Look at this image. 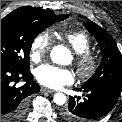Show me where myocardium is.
I'll return each instance as SVG.
<instances>
[{"instance_id": "obj_1", "label": "myocardium", "mask_w": 122, "mask_h": 122, "mask_svg": "<svg viewBox=\"0 0 122 122\" xmlns=\"http://www.w3.org/2000/svg\"><path fill=\"white\" fill-rule=\"evenodd\" d=\"M75 65L78 76L83 80H87L96 73L99 61L95 54L86 51L77 55Z\"/></svg>"}]
</instances>
